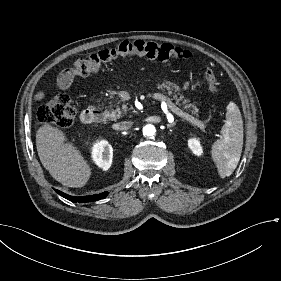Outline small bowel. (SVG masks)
I'll list each match as a JSON object with an SVG mask.
<instances>
[{
    "label": "small bowel",
    "mask_w": 281,
    "mask_h": 281,
    "mask_svg": "<svg viewBox=\"0 0 281 281\" xmlns=\"http://www.w3.org/2000/svg\"><path fill=\"white\" fill-rule=\"evenodd\" d=\"M75 74L73 72V69L68 68L63 70L59 77H58V85L60 87V89L62 90H66L70 87V85L72 84L73 80H74ZM189 84L186 83L184 85V89H188ZM37 96H38V100L39 101H44L47 99V94L45 93V89L44 88H39L37 91Z\"/></svg>",
    "instance_id": "obj_1"
}]
</instances>
